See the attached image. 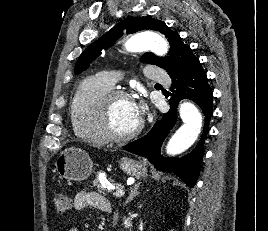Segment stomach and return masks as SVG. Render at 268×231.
<instances>
[{
    "mask_svg": "<svg viewBox=\"0 0 268 231\" xmlns=\"http://www.w3.org/2000/svg\"><path fill=\"white\" fill-rule=\"evenodd\" d=\"M55 167L60 177L69 181H83L91 175L93 162L81 148L69 147L59 154ZM119 167L129 176L141 177L147 173L144 164L129 158H122Z\"/></svg>",
    "mask_w": 268,
    "mask_h": 231,
    "instance_id": "0dacf381",
    "label": "stomach"
}]
</instances>
